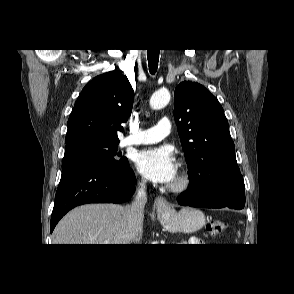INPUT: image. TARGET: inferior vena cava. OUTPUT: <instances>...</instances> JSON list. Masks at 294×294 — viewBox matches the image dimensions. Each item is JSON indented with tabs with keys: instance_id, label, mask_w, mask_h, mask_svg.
<instances>
[{
	"instance_id": "602c4592",
	"label": "inferior vena cava",
	"mask_w": 294,
	"mask_h": 294,
	"mask_svg": "<svg viewBox=\"0 0 294 294\" xmlns=\"http://www.w3.org/2000/svg\"><path fill=\"white\" fill-rule=\"evenodd\" d=\"M145 183L146 182L143 181L139 184V188L133 202L131 205L127 206L129 231L134 244H140V240L142 238L144 207L147 202Z\"/></svg>"
}]
</instances>
